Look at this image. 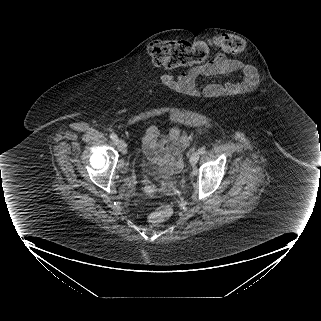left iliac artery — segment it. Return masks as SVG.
<instances>
[{
    "label": "left iliac artery",
    "instance_id": "1",
    "mask_svg": "<svg viewBox=\"0 0 321 321\" xmlns=\"http://www.w3.org/2000/svg\"><path fill=\"white\" fill-rule=\"evenodd\" d=\"M206 152V147H201L199 149V154H204Z\"/></svg>",
    "mask_w": 321,
    "mask_h": 321
}]
</instances>
